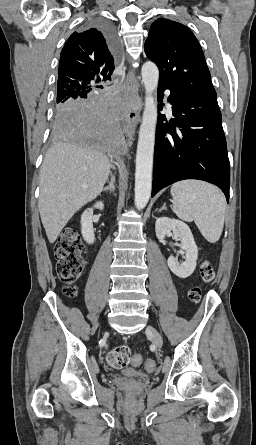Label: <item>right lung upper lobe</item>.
<instances>
[{
    "instance_id": "right-lung-upper-lobe-1",
    "label": "right lung upper lobe",
    "mask_w": 256,
    "mask_h": 445,
    "mask_svg": "<svg viewBox=\"0 0 256 445\" xmlns=\"http://www.w3.org/2000/svg\"><path fill=\"white\" fill-rule=\"evenodd\" d=\"M116 59L117 53L97 27L74 32L60 54L57 100L88 95L92 81L111 80Z\"/></svg>"
}]
</instances>
